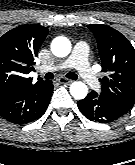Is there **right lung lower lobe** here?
I'll list each match as a JSON object with an SVG mask.
<instances>
[{
  "label": "right lung lower lobe",
  "mask_w": 135,
  "mask_h": 165,
  "mask_svg": "<svg viewBox=\"0 0 135 165\" xmlns=\"http://www.w3.org/2000/svg\"><path fill=\"white\" fill-rule=\"evenodd\" d=\"M53 85L17 86L0 91V116L11 123L24 124L41 117L46 111Z\"/></svg>",
  "instance_id": "right-lung-lower-lobe-1"
}]
</instances>
